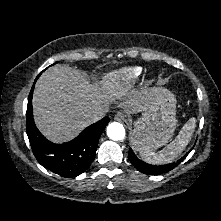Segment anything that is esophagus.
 Returning a JSON list of instances; mask_svg holds the SVG:
<instances>
[{"instance_id": "obj_1", "label": "esophagus", "mask_w": 221, "mask_h": 221, "mask_svg": "<svg viewBox=\"0 0 221 221\" xmlns=\"http://www.w3.org/2000/svg\"><path fill=\"white\" fill-rule=\"evenodd\" d=\"M114 119L116 120V121H119V122H122V123H127V118H126V116L124 115V113H122V112H118L116 115H115V117H114Z\"/></svg>"}]
</instances>
